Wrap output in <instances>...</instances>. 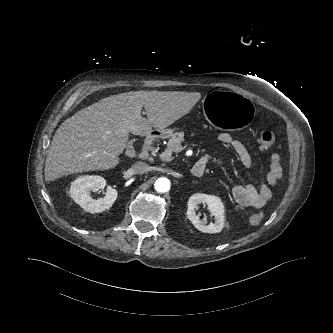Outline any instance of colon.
<instances>
[{
    "mask_svg": "<svg viewBox=\"0 0 333 333\" xmlns=\"http://www.w3.org/2000/svg\"><path fill=\"white\" fill-rule=\"evenodd\" d=\"M275 134L272 131H265L260 135L259 146L262 150L266 151L272 148L275 143ZM264 216L262 213H255L250 216V223L252 225H258L262 222Z\"/></svg>",
    "mask_w": 333,
    "mask_h": 333,
    "instance_id": "colon-1",
    "label": "colon"
}]
</instances>
